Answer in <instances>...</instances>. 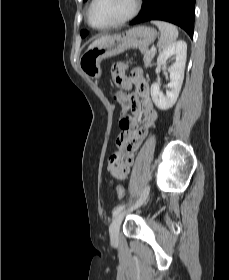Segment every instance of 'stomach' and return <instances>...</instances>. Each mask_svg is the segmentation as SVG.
<instances>
[{"mask_svg":"<svg viewBox=\"0 0 229 280\" xmlns=\"http://www.w3.org/2000/svg\"><path fill=\"white\" fill-rule=\"evenodd\" d=\"M156 37L157 31L152 27H133L87 50L79 60L80 69L92 79L100 78L102 73L100 64L103 59L116 56L131 48L147 50Z\"/></svg>","mask_w":229,"mask_h":280,"instance_id":"obj_1","label":"stomach"}]
</instances>
